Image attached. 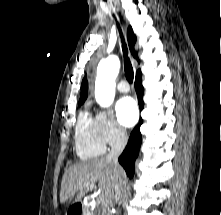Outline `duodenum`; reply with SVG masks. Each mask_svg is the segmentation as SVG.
<instances>
[{
  "label": "duodenum",
  "mask_w": 221,
  "mask_h": 215,
  "mask_svg": "<svg viewBox=\"0 0 221 215\" xmlns=\"http://www.w3.org/2000/svg\"><path fill=\"white\" fill-rule=\"evenodd\" d=\"M85 207L82 204L74 205L71 215H83Z\"/></svg>",
  "instance_id": "410a0bca"
}]
</instances>
